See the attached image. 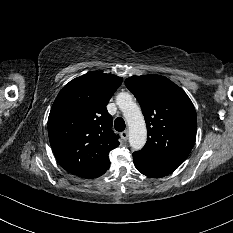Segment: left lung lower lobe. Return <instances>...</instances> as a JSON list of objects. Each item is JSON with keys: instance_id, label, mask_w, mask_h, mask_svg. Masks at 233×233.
I'll list each match as a JSON object with an SVG mask.
<instances>
[{"instance_id": "0a47b994", "label": "left lung lower lobe", "mask_w": 233, "mask_h": 233, "mask_svg": "<svg viewBox=\"0 0 233 233\" xmlns=\"http://www.w3.org/2000/svg\"><path fill=\"white\" fill-rule=\"evenodd\" d=\"M133 162L139 172L151 178H160L166 176L180 166L141 153L140 151H136L133 153Z\"/></svg>"}]
</instances>
